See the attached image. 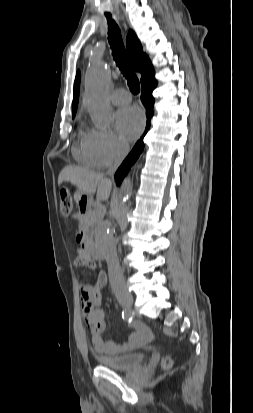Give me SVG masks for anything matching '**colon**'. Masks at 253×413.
I'll return each mask as SVG.
<instances>
[{"label":"colon","instance_id":"obj_1","mask_svg":"<svg viewBox=\"0 0 253 413\" xmlns=\"http://www.w3.org/2000/svg\"><path fill=\"white\" fill-rule=\"evenodd\" d=\"M60 210L64 216H69L74 210L73 199L68 190H62L60 192ZM164 369H169L172 365V361L169 357H165L162 361Z\"/></svg>","mask_w":253,"mask_h":413}]
</instances>
